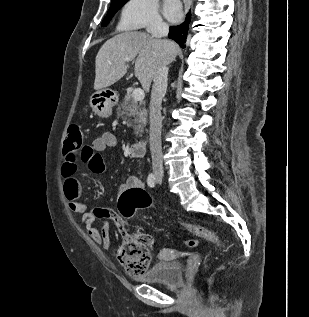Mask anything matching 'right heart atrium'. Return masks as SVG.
<instances>
[{
  "instance_id": "right-heart-atrium-1",
  "label": "right heart atrium",
  "mask_w": 309,
  "mask_h": 317,
  "mask_svg": "<svg viewBox=\"0 0 309 317\" xmlns=\"http://www.w3.org/2000/svg\"><path fill=\"white\" fill-rule=\"evenodd\" d=\"M163 24L157 0H127L122 8L120 25L125 29H154Z\"/></svg>"
}]
</instances>
